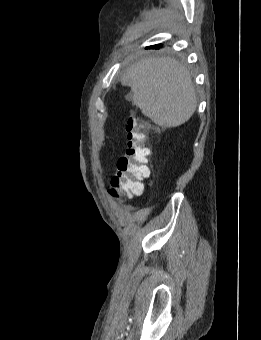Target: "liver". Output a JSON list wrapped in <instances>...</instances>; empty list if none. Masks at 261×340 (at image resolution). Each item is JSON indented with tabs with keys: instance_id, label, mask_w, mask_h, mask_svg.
I'll use <instances>...</instances> for the list:
<instances>
[{
	"instance_id": "6515ba94",
	"label": "liver",
	"mask_w": 261,
	"mask_h": 340,
	"mask_svg": "<svg viewBox=\"0 0 261 340\" xmlns=\"http://www.w3.org/2000/svg\"><path fill=\"white\" fill-rule=\"evenodd\" d=\"M121 84L131 87L134 104L162 128L184 124L197 108L190 72L170 57L141 59L126 70Z\"/></svg>"
}]
</instances>
